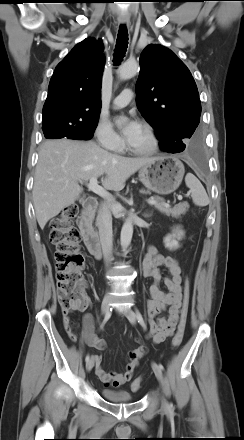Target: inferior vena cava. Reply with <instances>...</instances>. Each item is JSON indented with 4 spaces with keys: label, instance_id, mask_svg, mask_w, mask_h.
<instances>
[{
    "label": "inferior vena cava",
    "instance_id": "602c4592",
    "mask_svg": "<svg viewBox=\"0 0 244 440\" xmlns=\"http://www.w3.org/2000/svg\"><path fill=\"white\" fill-rule=\"evenodd\" d=\"M97 225L99 228L100 243L102 246L104 260L106 265H108L112 257L113 232L111 212L106 202L102 203L99 208Z\"/></svg>",
    "mask_w": 244,
    "mask_h": 440
}]
</instances>
